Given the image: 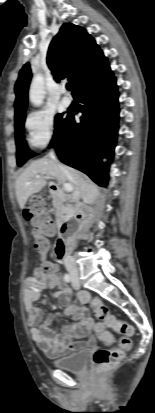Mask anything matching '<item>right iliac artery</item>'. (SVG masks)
I'll return each mask as SVG.
<instances>
[{
    "label": "right iliac artery",
    "mask_w": 155,
    "mask_h": 413,
    "mask_svg": "<svg viewBox=\"0 0 155 413\" xmlns=\"http://www.w3.org/2000/svg\"><path fill=\"white\" fill-rule=\"evenodd\" d=\"M64 280H65L66 282H70V281H71L70 275H69V274H65V275H64Z\"/></svg>",
    "instance_id": "1"
}]
</instances>
